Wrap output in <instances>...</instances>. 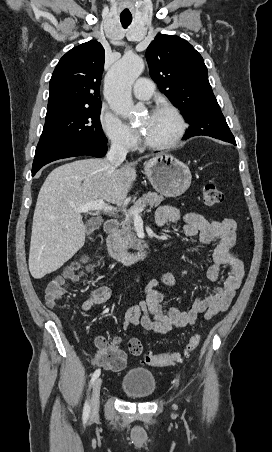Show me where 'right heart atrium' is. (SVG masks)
I'll use <instances>...</instances> for the list:
<instances>
[{
  "label": "right heart atrium",
  "mask_w": 272,
  "mask_h": 452,
  "mask_svg": "<svg viewBox=\"0 0 272 452\" xmlns=\"http://www.w3.org/2000/svg\"><path fill=\"white\" fill-rule=\"evenodd\" d=\"M99 126L104 136L115 146L122 149H132L136 144L133 130L114 114L101 110Z\"/></svg>",
  "instance_id": "1"
}]
</instances>
